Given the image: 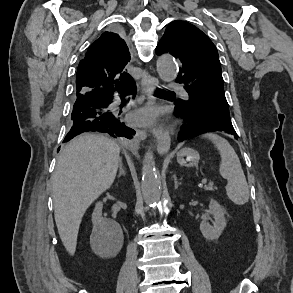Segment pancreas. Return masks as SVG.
Instances as JSON below:
<instances>
[{"instance_id": "obj_1", "label": "pancreas", "mask_w": 293, "mask_h": 293, "mask_svg": "<svg viewBox=\"0 0 293 293\" xmlns=\"http://www.w3.org/2000/svg\"><path fill=\"white\" fill-rule=\"evenodd\" d=\"M204 191H214L215 189H217L213 183H209L208 185L204 186Z\"/></svg>"}]
</instances>
